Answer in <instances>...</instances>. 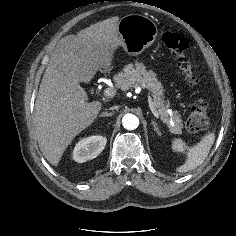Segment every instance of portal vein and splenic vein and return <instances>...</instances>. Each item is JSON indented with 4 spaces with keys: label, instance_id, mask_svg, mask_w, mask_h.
<instances>
[{
    "label": "portal vein and splenic vein",
    "instance_id": "obj_1",
    "mask_svg": "<svg viewBox=\"0 0 236 236\" xmlns=\"http://www.w3.org/2000/svg\"><path fill=\"white\" fill-rule=\"evenodd\" d=\"M115 94H116V90L114 88H106L104 90V96L105 97H108V98L114 97ZM148 103H149V107H150V110L153 113V115L156 118H160L161 119V117H160V115H159V113H158V111H157V109H156V107L154 105V102H153V100H152V98L150 96H148Z\"/></svg>",
    "mask_w": 236,
    "mask_h": 236
}]
</instances>
